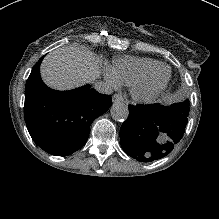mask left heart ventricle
<instances>
[{
    "label": "left heart ventricle",
    "instance_id": "left-heart-ventricle-1",
    "mask_svg": "<svg viewBox=\"0 0 219 219\" xmlns=\"http://www.w3.org/2000/svg\"><path fill=\"white\" fill-rule=\"evenodd\" d=\"M162 79H163V75H162V74L159 75V76H156L155 82H156V83H160V82L162 81Z\"/></svg>",
    "mask_w": 219,
    "mask_h": 219
}]
</instances>
